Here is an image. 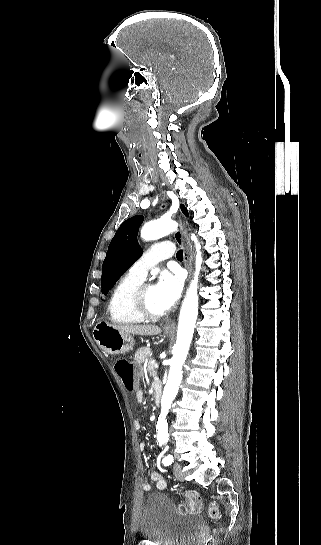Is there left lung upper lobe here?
Instances as JSON below:
<instances>
[{
	"instance_id": "left-lung-upper-lobe-1",
	"label": "left lung upper lobe",
	"mask_w": 321,
	"mask_h": 545,
	"mask_svg": "<svg viewBox=\"0 0 321 545\" xmlns=\"http://www.w3.org/2000/svg\"><path fill=\"white\" fill-rule=\"evenodd\" d=\"M181 210L188 217L184 205ZM143 216H134L124 221L110 242L102 268V293L106 295L124 272L140 257L141 248L137 243L138 228Z\"/></svg>"
}]
</instances>
